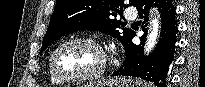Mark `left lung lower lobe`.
Listing matches in <instances>:
<instances>
[{
  "mask_svg": "<svg viewBox=\"0 0 205 87\" xmlns=\"http://www.w3.org/2000/svg\"><path fill=\"white\" fill-rule=\"evenodd\" d=\"M155 6L162 19L159 41L154 51L148 57L143 55L145 35L141 37L142 43L136 45L132 42L135 33L125 46L126 60L123 66L113 75L141 77L152 82L157 87H166V78L174 58L177 42L176 10L171 0H139L136 4L139 17L142 20L143 30L146 32L149 7Z\"/></svg>",
  "mask_w": 205,
  "mask_h": 87,
  "instance_id": "0a47b994",
  "label": "left lung lower lobe"
}]
</instances>
